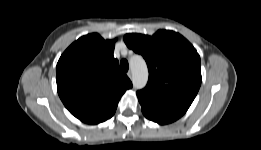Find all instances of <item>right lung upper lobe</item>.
Wrapping results in <instances>:
<instances>
[{"label":"right lung upper lobe","instance_id":"right-lung-upper-lobe-1","mask_svg":"<svg viewBox=\"0 0 261 150\" xmlns=\"http://www.w3.org/2000/svg\"><path fill=\"white\" fill-rule=\"evenodd\" d=\"M115 40L88 34L71 44L56 67L58 94L65 107L79 120L98 124L116 111L132 83L114 58Z\"/></svg>","mask_w":261,"mask_h":150}]
</instances>
